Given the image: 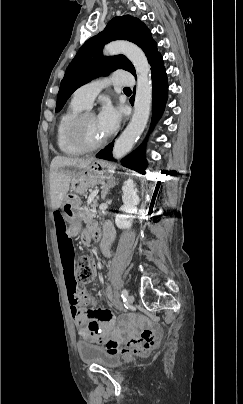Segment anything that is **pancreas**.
I'll list each match as a JSON object with an SVG mask.
<instances>
[{"instance_id":"1","label":"pancreas","mask_w":243,"mask_h":404,"mask_svg":"<svg viewBox=\"0 0 243 404\" xmlns=\"http://www.w3.org/2000/svg\"><path fill=\"white\" fill-rule=\"evenodd\" d=\"M98 198L96 200H93V204H89V206H85L84 210H82V217H83V223L87 224L89 220H93V218H96V208L98 206L97 204Z\"/></svg>"}]
</instances>
